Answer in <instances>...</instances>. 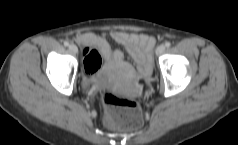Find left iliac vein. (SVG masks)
Listing matches in <instances>:
<instances>
[{"instance_id":"obj_1","label":"left iliac vein","mask_w":238,"mask_h":145,"mask_svg":"<svg viewBox=\"0 0 238 145\" xmlns=\"http://www.w3.org/2000/svg\"><path fill=\"white\" fill-rule=\"evenodd\" d=\"M165 51V45L160 44L156 49V55H161Z\"/></svg>"}]
</instances>
